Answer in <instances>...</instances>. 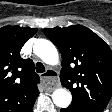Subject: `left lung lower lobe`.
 Masks as SVG:
<instances>
[{
	"mask_svg": "<svg viewBox=\"0 0 112 112\" xmlns=\"http://www.w3.org/2000/svg\"><path fill=\"white\" fill-rule=\"evenodd\" d=\"M104 109L93 108V107H82L70 105L66 109H61L60 112H103Z\"/></svg>",
	"mask_w": 112,
	"mask_h": 112,
	"instance_id": "left-lung-lower-lobe-1",
	"label": "left lung lower lobe"
}]
</instances>
